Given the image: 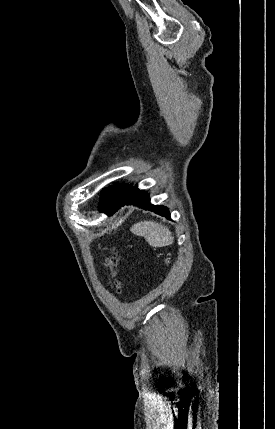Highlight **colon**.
<instances>
[{"label":"colon","mask_w":275,"mask_h":429,"mask_svg":"<svg viewBox=\"0 0 275 429\" xmlns=\"http://www.w3.org/2000/svg\"><path fill=\"white\" fill-rule=\"evenodd\" d=\"M105 265L110 271L112 285L116 288L118 292H120L121 282L117 279L118 257L114 252L108 254L105 259Z\"/></svg>","instance_id":"obj_1"}]
</instances>
